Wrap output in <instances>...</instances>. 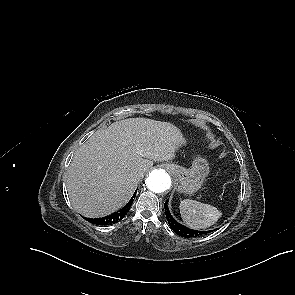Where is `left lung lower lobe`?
Segmentation results:
<instances>
[{
    "label": "left lung lower lobe",
    "mask_w": 295,
    "mask_h": 295,
    "mask_svg": "<svg viewBox=\"0 0 295 295\" xmlns=\"http://www.w3.org/2000/svg\"><path fill=\"white\" fill-rule=\"evenodd\" d=\"M164 208H165V215H166L167 221H168L171 229L179 236L197 237L199 235L209 233V231L192 230V229H189V228L183 226L182 224L178 223L170 214V211L168 209V201L165 202Z\"/></svg>",
    "instance_id": "obj_1"
}]
</instances>
